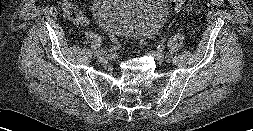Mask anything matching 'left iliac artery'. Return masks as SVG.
<instances>
[{"instance_id":"44dca946","label":"left iliac artery","mask_w":253,"mask_h":131,"mask_svg":"<svg viewBox=\"0 0 253 131\" xmlns=\"http://www.w3.org/2000/svg\"><path fill=\"white\" fill-rule=\"evenodd\" d=\"M155 50H156L157 52H164V51L166 50V47H165L164 45H157V46L155 47Z\"/></svg>"}]
</instances>
